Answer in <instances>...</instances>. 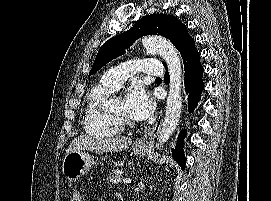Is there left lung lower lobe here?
Returning <instances> with one entry per match:
<instances>
[{
  "mask_svg": "<svg viewBox=\"0 0 271 201\" xmlns=\"http://www.w3.org/2000/svg\"><path fill=\"white\" fill-rule=\"evenodd\" d=\"M179 52L183 58L185 69V90L188 94V111L193 112L198 102L201 99V92L204 88L202 82V74L204 72L200 63L199 53L195 48L194 40L188 41L179 49ZM167 69V68H166ZM165 79L169 81V75L166 73ZM168 81H166L168 83ZM186 136V130L180 132L177 146L175 150H172V155L175 161L185 168V158L182 149L183 138Z\"/></svg>",
  "mask_w": 271,
  "mask_h": 201,
  "instance_id": "1",
  "label": "left lung lower lobe"
}]
</instances>
